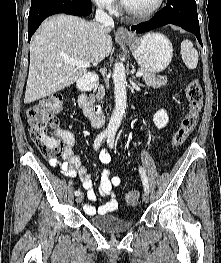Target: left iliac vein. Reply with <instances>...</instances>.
Instances as JSON below:
<instances>
[{"instance_id":"left-iliac-vein-1","label":"left iliac vein","mask_w":221,"mask_h":263,"mask_svg":"<svg viewBox=\"0 0 221 263\" xmlns=\"http://www.w3.org/2000/svg\"><path fill=\"white\" fill-rule=\"evenodd\" d=\"M142 199H143V201H144L145 203H148V201H149V195H148L147 192L143 193Z\"/></svg>"}]
</instances>
